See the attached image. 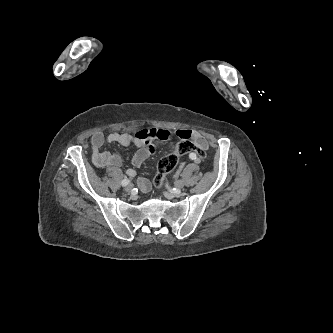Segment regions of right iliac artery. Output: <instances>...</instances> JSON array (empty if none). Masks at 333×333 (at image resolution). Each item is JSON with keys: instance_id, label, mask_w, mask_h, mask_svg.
Wrapping results in <instances>:
<instances>
[{"instance_id": "1", "label": "right iliac artery", "mask_w": 333, "mask_h": 333, "mask_svg": "<svg viewBox=\"0 0 333 333\" xmlns=\"http://www.w3.org/2000/svg\"><path fill=\"white\" fill-rule=\"evenodd\" d=\"M129 183H130V180H129V179H124V180H122L121 185H122V186H126V185H128Z\"/></svg>"}]
</instances>
